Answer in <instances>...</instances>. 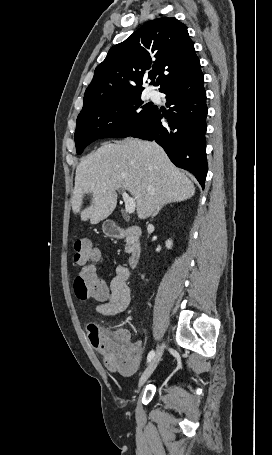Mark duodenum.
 <instances>
[{
	"mask_svg": "<svg viewBox=\"0 0 272 455\" xmlns=\"http://www.w3.org/2000/svg\"><path fill=\"white\" fill-rule=\"evenodd\" d=\"M108 234L117 239L128 238L130 241V250L128 254V263L130 267L135 268L140 259L141 249L139 245V237L141 230L137 226H131L127 229L116 225L111 224L108 226Z\"/></svg>",
	"mask_w": 272,
	"mask_h": 455,
	"instance_id": "duodenum-1",
	"label": "duodenum"
}]
</instances>
